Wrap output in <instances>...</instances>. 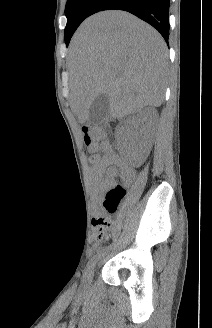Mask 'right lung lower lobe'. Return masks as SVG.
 Instances as JSON below:
<instances>
[{
    "mask_svg": "<svg viewBox=\"0 0 212 328\" xmlns=\"http://www.w3.org/2000/svg\"><path fill=\"white\" fill-rule=\"evenodd\" d=\"M169 5L170 0H96L88 16L104 10L127 11L151 24L168 42Z\"/></svg>",
    "mask_w": 212,
    "mask_h": 328,
    "instance_id": "98d812e1",
    "label": "right lung lower lobe"
}]
</instances>
